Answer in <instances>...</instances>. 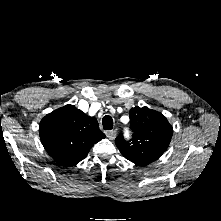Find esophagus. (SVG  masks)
Segmentation results:
<instances>
[{"label":"esophagus","mask_w":221,"mask_h":221,"mask_svg":"<svg viewBox=\"0 0 221 221\" xmlns=\"http://www.w3.org/2000/svg\"><path fill=\"white\" fill-rule=\"evenodd\" d=\"M116 130H110L106 132V136L110 139L113 140L116 137Z\"/></svg>","instance_id":"obj_1"}]
</instances>
